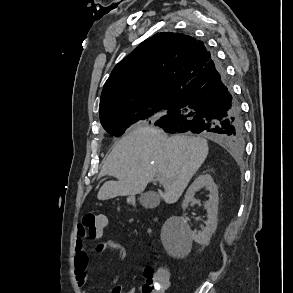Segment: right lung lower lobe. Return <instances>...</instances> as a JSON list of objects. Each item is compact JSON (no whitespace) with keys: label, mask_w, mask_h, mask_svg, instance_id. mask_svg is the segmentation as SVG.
<instances>
[{"label":"right lung lower lobe","mask_w":293,"mask_h":293,"mask_svg":"<svg viewBox=\"0 0 293 293\" xmlns=\"http://www.w3.org/2000/svg\"><path fill=\"white\" fill-rule=\"evenodd\" d=\"M175 103L174 111L154 121L156 126L169 133L207 134L236 152L243 151L241 109L215 57L182 89Z\"/></svg>","instance_id":"98d812e1"}]
</instances>
